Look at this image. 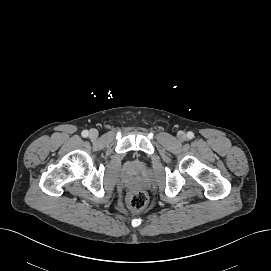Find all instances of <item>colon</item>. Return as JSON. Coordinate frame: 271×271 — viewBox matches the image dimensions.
<instances>
[{
  "mask_svg": "<svg viewBox=\"0 0 271 271\" xmlns=\"http://www.w3.org/2000/svg\"><path fill=\"white\" fill-rule=\"evenodd\" d=\"M148 202V195L142 189H134L128 198V206L133 211L143 210Z\"/></svg>",
  "mask_w": 271,
  "mask_h": 271,
  "instance_id": "colon-1",
  "label": "colon"
}]
</instances>
